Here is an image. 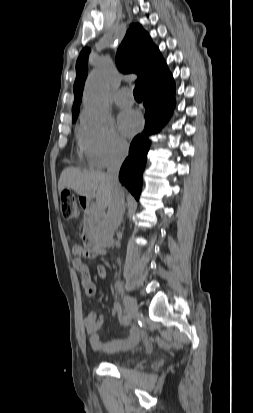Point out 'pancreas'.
<instances>
[{
	"mask_svg": "<svg viewBox=\"0 0 253 413\" xmlns=\"http://www.w3.org/2000/svg\"><path fill=\"white\" fill-rule=\"evenodd\" d=\"M89 222H91V223H93L95 226H97V225L99 224V222H100V215H99V213H97V212H92V211L87 212L86 217H85V223H89Z\"/></svg>",
	"mask_w": 253,
	"mask_h": 413,
	"instance_id": "obj_1",
	"label": "pancreas"
}]
</instances>
